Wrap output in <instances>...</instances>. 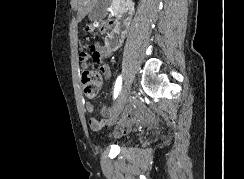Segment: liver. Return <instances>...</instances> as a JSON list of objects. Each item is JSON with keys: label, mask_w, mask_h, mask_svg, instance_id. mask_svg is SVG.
I'll return each instance as SVG.
<instances>
[{"label": "liver", "mask_w": 244, "mask_h": 179, "mask_svg": "<svg viewBox=\"0 0 244 179\" xmlns=\"http://www.w3.org/2000/svg\"><path fill=\"white\" fill-rule=\"evenodd\" d=\"M95 2H97V0H79L77 12L78 22H81V20L87 16L88 12L92 10Z\"/></svg>", "instance_id": "1"}]
</instances>
